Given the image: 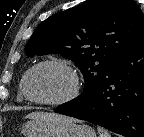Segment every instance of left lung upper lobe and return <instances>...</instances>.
I'll return each instance as SVG.
<instances>
[{
  "instance_id": "5c2ea615",
  "label": "left lung upper lobe",
  "mask_w": 144,
  "mask_h": 137,
  "mask_svg": "<svg viewBox=\"0 0 144 137\" xmlns=\"http://www.w3.org/2000/svg\"><path fill=\"white\" fill-rule=\"evenodd\" d=\"M143 28L144 14L134 0H86L40 23L25 53H58L74 61L84 76L83 95L96 87Z\"/></svg>"
}]
</instances>
